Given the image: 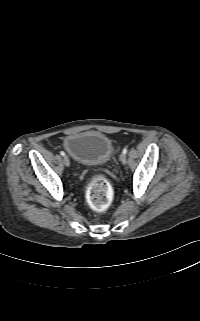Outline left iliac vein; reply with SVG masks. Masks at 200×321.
<instances>
[{"label": "left iliac vein", "instance_id": "left-iliac-vein-1", "mask_svg": "<svg viewBox=\"0 0 200 321\" xmlns=\"http://www.w3.org/2000/svg\"><path fill=\"white\" fill-rule=\"evenodd\" d=\"M120 161L123 163V164H126L127 163V158H126V155L124 153H122L120 155Z\"/></svg>", "mask_w": 200, "mask_h": 321}]
</instances>
